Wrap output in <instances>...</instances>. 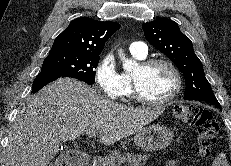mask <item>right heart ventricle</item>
I'll return each mask as SVG.
<instances>
[{
  "label": "right heart ventricle",
  "mask_w": 231,
  "mask_h": 166,
  "mask_svg": "<svg viewBox=\"0 0 231 166\" xmlns=\"http://www.w3.org/2000/svg\"><path fill=\"white\" fill-rule=\"evenodd\" d=\"M132 55L137 60H144L145 59V57H140V56L135 55V54H132ZM123 78H124V81H125V84H126V87H127L126 95L130 96L132 94L131 76L128 75V74H123Z\"/></svg>",
  "instance_id": "1"
}]
</instances>
